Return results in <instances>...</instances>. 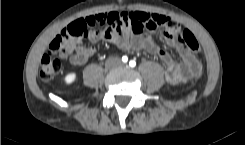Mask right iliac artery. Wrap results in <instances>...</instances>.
Here are the masks:
<instances>
[{
    "instance_id": "right-iliac-artery-1",
    "label": "right iliac artery",
    "mask_w": 245,
    "mask_h": 145,
    "mask_svg": "<svg viewBox=\"0 0 245 145\" xmlns=\"http://www.w3.org/2000/svg\"><path fill=\"white\" fill-rule=\"evenodd\" d=\"M122 61H123V62H127V61H128V57H127V56H123V57H122Z\"/></svg>"
}]
</instances>
